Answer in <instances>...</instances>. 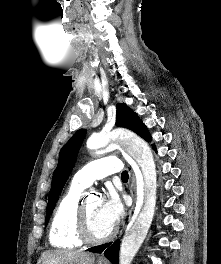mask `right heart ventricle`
Segmentation results:
<instances>
[{
    "label": "right heart ventricle",
    "instance_id": "obj_1",
    "mask_svg": "<svg viewBox=\"0 0 221 264\" xmlns=\"http://www.w3.org/2000/svg\"><path fill=\"white\" fill-rule=\"evenodd\" d=\"M84 189L72 181L61 197L50 226L49 240L52 246L71 250L83 245L76 233L75 218Z\"/></svg>",
    "mask_w": 221,
    "mask_h": 264
}]
</instances>
